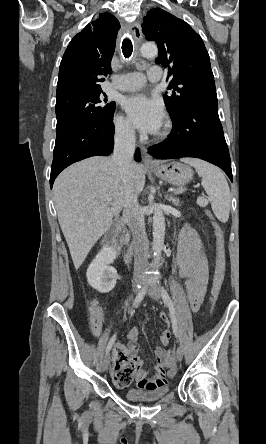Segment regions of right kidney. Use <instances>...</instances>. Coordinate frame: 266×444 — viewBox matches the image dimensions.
Instances as JSON below:
<instances>
[{
    "label": "right kidney",
    "mask_w": 266,
    "mask_h": 444,
    "mask_svg": "<svg viewBox=\"0 0 266 444\" xmlns=\"http://www.w3.org/2000/svg\"><path fill=\"white\" fill-rule=\"evenodd\" d=\"M115 258V248L107 245L96 255L86 273L87 281L92 288L101 293H107L115 287L117 271L110 266Z\"/></svg>",
    "instance_id": "ca27d5eb"
}]
</instances>
